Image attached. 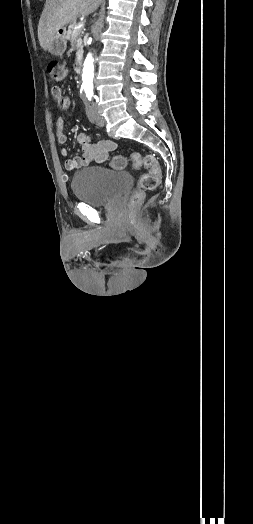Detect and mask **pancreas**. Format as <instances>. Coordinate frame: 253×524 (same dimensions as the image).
<instances>
[{
  "label": "pancreas",
  "instance_id": "obj_1",
  "mask_svg": "<svg viewBox=\"0 0 253 524\" xmlns=\"http://www.w3.org/2000/svg\"><path fill=\"white\" fill-rule=\"evenodd\" d=\"M75 26H76V22H75V21H72V22L70 23V25L68 26V29H67V31H66V38H67L68 40H70V39H72V38H75V39L77 40V45H76V47H77V49L79 50V51L77 52V55H79V54H80V51H81V49H82L81 38H80V36H81V30H75V29H74Z\"/></svg>",
  "mask_w": 253,
  "mask_h": 524
}]
</instances>
